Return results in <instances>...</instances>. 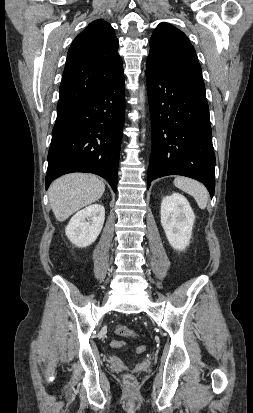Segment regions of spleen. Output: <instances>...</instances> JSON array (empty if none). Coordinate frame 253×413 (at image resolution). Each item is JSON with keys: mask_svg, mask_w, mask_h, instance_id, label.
Here are the masks:
<instances>
[{"mask_svg": "<svg viewBox=\"0 0 253 413\" xmlns=\"http://www.w3.org/2000/svg\"><path fill=\"white\" fill-rule=\"evenodd\" d=\"M174 185L180 190L193 196L200 209L206 208L209 193L202 183L191 178L178 176L174 179Z\"/></svg>", "mask_w": 253, "mask_h": 413, "instance_id": "1", "label": "spleen"}]
</instances>
